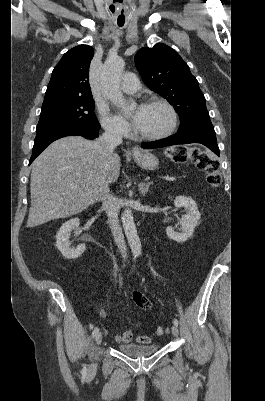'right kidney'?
Returning a JSON list of instances; mask_svg holds the SVG:
<instances>
[{"label": "right kidney", "mask_w": 265, "mask_h": 401, "mask_svg": "<svg viewBox=\"0 0 265 401\" xmlns=\"http://www.w3.org/2000/svg\"><path fill=\"white\" fill-rule=\"evenodd\" d=\"M76 227H79V219H70L67 223H63L56 235V247L61 251L65 259H77V257H81L86 249L85 245H78L76 249H71L70 247L71 231Z\"/></svg>", "instance_id": "1"}]
</instances>
